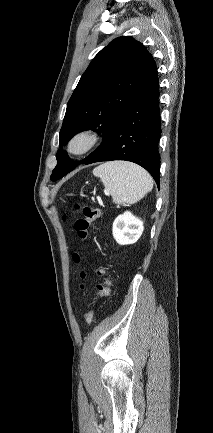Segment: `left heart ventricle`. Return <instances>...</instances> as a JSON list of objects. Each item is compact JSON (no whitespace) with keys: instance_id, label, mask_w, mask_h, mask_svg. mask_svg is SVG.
<instances>
[{"instance_id":"1","label":"left heart ventricle","mask_w":213,"mask_h":433,"mask_svg":"<svg viewBox=\"0 0 213 433\" xmlns=\"http://www.w3.org/2000/svg\"><path fill=\"white\" fill-rule=\"evenodd\" d=\"M78 147H80V143H77V144H76V148H78Z\"/></svg>"}]
</instances>
